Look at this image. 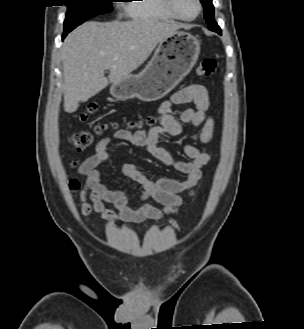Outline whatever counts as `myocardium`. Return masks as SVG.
<instances>
[{
  "instance_id": "1",
  "label": "myocardium",
  "mask_w": 304,
  "mask_h": 329,
  "mask_svg": "<svg viewBox=\"0 0 304 329\" xmlns=\"http://www.w3.org/2000/svg\"><path fill=\"white\" fill-rule=\"evenodd\" d=\"M164 3V6L168 13L175 19L183 20V21H192L195 20L202 12L203 10V5L201 0H196L197 5H198V10L197 13L192 16V17H186L177 12V10L174 7V1L173 0H162Z\"/></svg>"
}]
</instances>
